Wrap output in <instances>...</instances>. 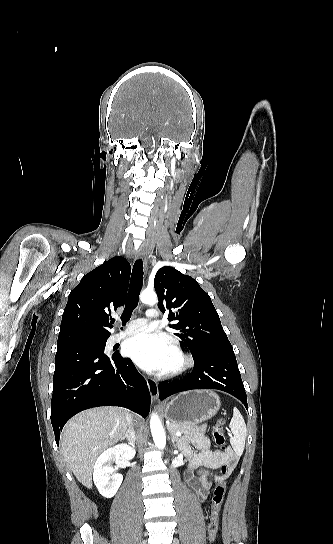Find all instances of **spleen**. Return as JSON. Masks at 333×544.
Here are the masks:
<instances>
[{
	"label": "spleen",
	"mask_w": 333,
	"mask_h": 544,
	"mask_svg": "<svg viewBox=\"0 0 333 544\" xmlns=\"http://www.w3.org/2000/svg\"><path fill=\"white\" fill-rule=\"evenodd\" d=\"M229 428L233 434V436L230 437V443L235 453L241 455L245 447L247 429L244 418L237 408L233 409V416Z\"/></svg>",
	"instance_id": "obj_1"
}]
</instances>
